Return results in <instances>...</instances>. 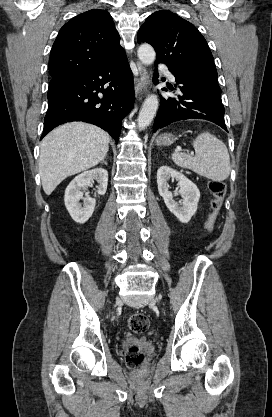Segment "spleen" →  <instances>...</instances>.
Instances as JSON below:
<instances>
[{"label":"spleen","mask_w":272,"mask_h":417,"mask_svg":"<svg viewBox=\"0 0 272 417\" xmlns=\"http://www.w3.org/2000/svg\"><path fill=\"white\" fill-rule=\"evenodd\" d=\"M193 148L195 156L175 151L172 154L174 163L216 182L228 178L231 171L230 156L221 140L204 132L193 141Z\"/></svg>","instance_id":"obj_1"}]
</instances>
